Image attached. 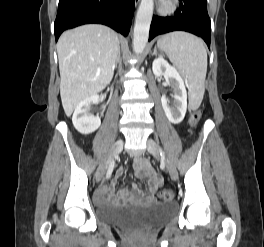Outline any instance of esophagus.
<instances>
[{
  "instance_id": "34e87169",
  "label": "esophagus",
  "mask_w": 264,
  "mask_h": 247,
  "mask_svg": "<svg viewBox=\"0 0 264 247\" xmlns=\"http://www.w3.org/2000/svg\"><path fill=\"white\" fill-rule=\"evenodd\" d=\"M139 1H140V0H135V1H134V2H135V5H138Z\"/></svg>"
}]
</instances>
